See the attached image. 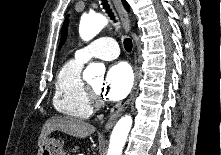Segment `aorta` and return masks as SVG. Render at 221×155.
Segmentation results:
<instances>
[{"instance_id":"1","label":"aorta","mask_w":221,"mask_h":155,"mask_svg":"<svg viewBox=\"0 0 221 155\" xmlns=\"http://www.w3.org/2000/svg\"><path fill=\"white\" fill-rule=\"evenodd\" d=\"M107 19L100 14L83 16L79 25V34L84 41L93 39L106 25ZM104 66L98 63H90L84 71L83 77L91 80L98 74L104 73ZM132 127V117H121L113 128L110 136L107 155H121L127 136Z\"/></svg>"}]
</instances>
